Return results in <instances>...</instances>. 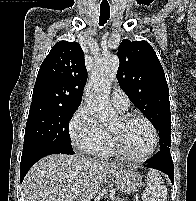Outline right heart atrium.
Listing matches in <instances>:
<instances>
[{"mask_svg": "<svg viewBox=\"0 0 196 201\" xmlns=\"http://www.w3.org/2000/svg\"><path fill=\"white\" fill-rule=\"evenodd\" d=\"M69 136L76 149L96 154L105 145L107 132L100 126L89 108L81 104L69 121Z\"/></svg>", "mask_w": 196, "mask_h": 201, "instance_id": "d8ad5b80", "label": "right heart atrium"}]
</instances>
